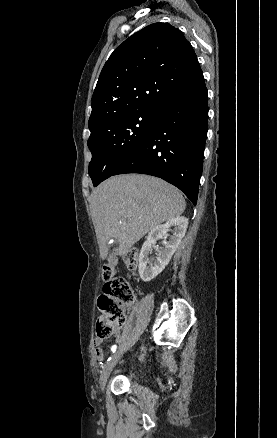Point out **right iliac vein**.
Here are the masks:
<instances>
[{
  "mask_svg": "<svg viewBox=\"0 0 277 438\" xmlns=\"http://www.w3.org/2000/svg\"><path fill=\"white\" fill-rule=\"evenodd\" d=\"M122 354H123V350L116 351L111 356V358L108 360V362L105 364V366L103 367V369L101 371V375H100V387L102 390L105 388L107 380H108L113 368L120 360Z\"/></svg>",
  "mask_w": 277,
  "mask_h": 438,
  "instance_id": "1",
  "label": "right iliac vein"
}]
</instances>
